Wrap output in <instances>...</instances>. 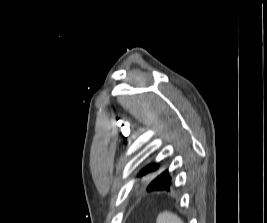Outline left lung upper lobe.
Instances as JSON below:
<instances>
[{"instance_id": "5c2ea615", "label": "left lung upper lobe", "mask_w": 267, "mask_h": 223, "mask_svg": "<svg viewBox=\"0 0 267 223\" xmlns=\"http://www.w3.org/2000/svg\"><path fill=\"white\" fill-rule=\"evenodd\" d=\"M165 163H152L145 167L137 177L149 176L152 181L157 178L158 173H168L165 169Z\"/></svg>"}]
</instances>
